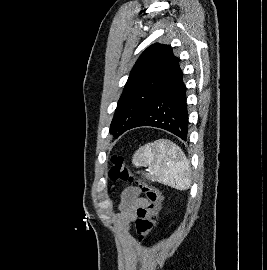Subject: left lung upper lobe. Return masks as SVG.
<instances>
[{
    "mask_svg": "<svg viewBox=\"0 0 267 270\" xmlns=\"http://www.w3.org/2000/svg\"><path fill=\"white\" fill-rule=\"evenodd\" d=\"M179 60L168 45L153 44L136 61L118 101L110 133L127 131L171 78Z\"/></svg>",
    "mask_w": 267,
    "mask_h": 270,
    "instance_id": "1",
    "label": "left lung upper lobe"
}]
</instances>
